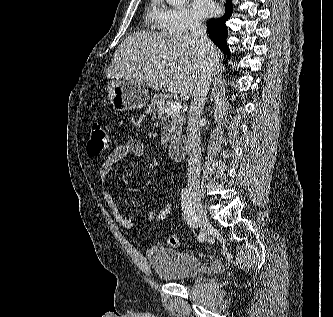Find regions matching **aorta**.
<instances>
[{
	"mask_svg": "<svg viewBox=\"0 0 333 317\" xmlns=\"http://www.w3.org/2000/svg\"><path fill=\"white\" fill-rule=\"evenodd\" d=\"M166 1L169 5H172V6L176 7V6L183 5L186 0H166Z\"/></svg>",
	"mask_w": 333,
	"mask_h": 317,
	"instance_id": "762f6f07",
	"label": "aorta"
}]
</instances>
